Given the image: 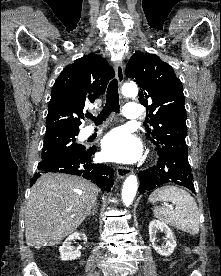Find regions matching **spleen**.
Here are the masks:
<instances>
[{"label": "spleen", "instance_id": "obj_1", "mask_svg": "<svg viewBox=\"0 0 221 276\" xmlns=\"http://www.w3.org/2000/svg\"><path fill=\"white\" fill-rule=\"evenodd\" d=\"M157 201H169L176 207L155 206L153 213L156 218L190 235L198 234V207L187 191L176 186H163L149 196V202L154 204Z\"/></svg>", "mask_w": 221, "mask_h": 276}]
</instances>
